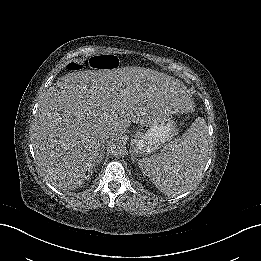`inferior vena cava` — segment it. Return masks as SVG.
<instances>
[{
    "mask_svg": "<svg viewBox=\"0 0 261 261\" xmlns=\"http://www.w3.org/2000/svg\"><path fill=\"white\" fill-rule=\"evenodd\" d=\"M110 135H111V134H110ZM104 137H105V139H106V138H108V137H109V135L107 136V134H106V135H104Z\"/></svg>",
    "mask_w": 261,
    "mask_h": 261,
    "instance_id": "1",
    "label": "inferior vena cava"
}]
</instances>
